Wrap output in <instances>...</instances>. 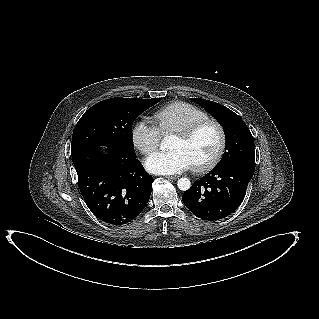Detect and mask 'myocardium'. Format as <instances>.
Listing matches in <instances>:
<instances>
[{
    "label": "myocardium",
    "mask_w": 319,
    "mask_h": 319,
    "mask_svg": "<svg viewBox=\"0 0 319 319\" xmlns=\"http://www.w3.org/2000/svg\"><path fill=\"white\" fill-rule=\"evenodd\" d=\"M207 126H212L215 128L218 134V145L215 153L213 156L203 163L193 164L192 169L195 172H207L213 169L222 159L225 149H226V143H227V136L224 127L220 122L214 119H203L200 121H197L188 127L174 132V135L183 139V140H189L191 139L197 132H199L201 129Z\"/></svg>",
    "instance_id": "obj_1"
}]
</instances>
